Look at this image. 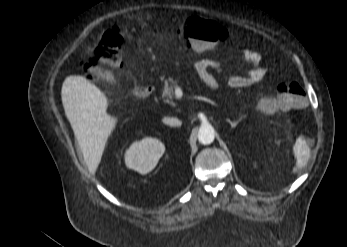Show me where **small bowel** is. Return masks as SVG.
I'll list each match as a JSON object with an SVG mask.
<instances>
[{
	"label": "small bowel",
	"instance_id": "small-bowel-1",
	"mask_svg": "<svg viewBox=\"0 0 347 247\" xmlns=\"http://www.w3.org/2000/svg\"><path fill=\"white\" fill-rule=\"evenodd\" d=\"M243 60L248 66L245 74L226 73V81L233 88H245L260 82L265 76V68L262 65L261 55L253 50L246 49L243 53ZM195 70L204 82L211 88L217 89L218 82L213 72H223L222 65L213 59L203 58L195 63Z\"/></svg>",
	"mask_w": 347,
	"mask_h": 247
}]
</instances>
